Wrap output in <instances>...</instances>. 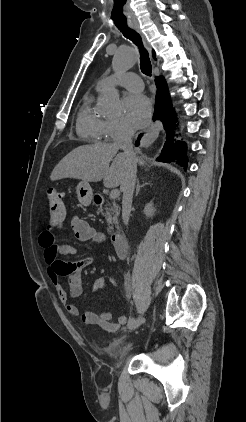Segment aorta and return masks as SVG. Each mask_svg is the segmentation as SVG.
I'll use <instances>...</instances> for the list:
<instances>
[{
	"label": "aorta",
	"mask_w": 246,
	"mask_h": 422,
	"mask_svg": "<svg viewBox=\"0 0 246 422\" xmlns=\"http://www.w3.org/2000/svg\"><path fill=\"white\" fill-rule=\"evenodd\" d=\"M137 60L136 52L131 47L119 48L112 61L114 71L123 72L131 68ZM104 114L118 116L121 112L119 94L115 89L104 92L100 97Z\"/></svg>",
	"instance_id": "aorta-1"
}]
</instances>
